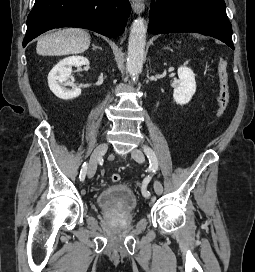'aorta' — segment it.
Masks as SVG:
<instances>
[{
	"instance_id": "aorta-1",
	"label": "aorta",
	"mask_w": 255,
	"mask_h": 272,
	"mask_svg": "<svg viewBox=\"0 0 255 272\" xmlns=\"http://www.w3.org/2000/svg\"><path fill=\"white\" fill-rule=\"evenodd\" d=\"M147 26L143 18L135 19L131 25L128 41L127 71L133 80L142 72Z\"/></svg>"
}]
</instances>
